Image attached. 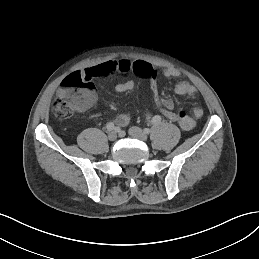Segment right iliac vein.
Segmentation results:
<instances>
[{
    "mask_svg": "<svg viewBox=\"0 0 259 259\" xmlns=\"http://www.w3.org/2000/svg\"><path fill=\"white\" fill-rule=\"evenodd\" d=\"M116 138H117V134L114 131L108 133V139L110 141H114L116 140Z\"/></svg>",
    "mask_w": 259,
    "mask_h": 259,
    "instance_id": "obj_1",
    "label": "right iliac vein"
}]
</instances>
